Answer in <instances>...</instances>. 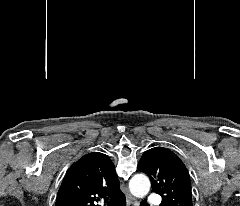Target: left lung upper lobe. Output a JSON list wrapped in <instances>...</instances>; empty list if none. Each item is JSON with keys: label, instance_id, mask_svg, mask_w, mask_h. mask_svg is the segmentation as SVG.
<instances>
[{"label": "left lung upper lobe", "instance_id": "obj_1", "mask_svg": "<svg viewBox=\"0 0 240 206\" xmlns=\"http://www.w3.org/2000/svg\"><path fill=\"white\" fill-rule=\"evenodd\" d=\"M137 169L149 176L152 191L162 196L160 206H193L189 173L171 150L153 147L145 151Z\"/></svg>", "mask_w": 240, "mask_h": 206}]
</instances>
